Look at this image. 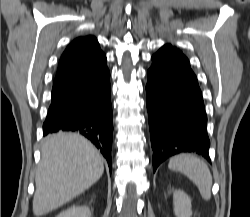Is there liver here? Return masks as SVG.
<instances>
[{"mask_svg": "<svg viewBox=\"0 0 250 217\" xmlns=\"http://www.w3.org/2000/svg\"><path fill=\"white\" fill-rule=\"evenodd\" d=\"M41 154L33 198L36 216L45 215L83 193L104 172L97 149L78 134L60 132L47 136Z\"/></svg>", "mask_w": 250, "mask_h": 217, "instance_id": "obj_1", "label": "liver"}]
</instances>
